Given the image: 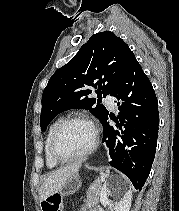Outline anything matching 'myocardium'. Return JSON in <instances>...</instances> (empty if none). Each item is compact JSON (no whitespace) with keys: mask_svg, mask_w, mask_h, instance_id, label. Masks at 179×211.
<instances>
[{"mask_svg":"<svg viewBox=\"0 0 179 211\" xmlns=\"http://www.w3.org/2000/svg\"><path fill=\"white\" fill-rule=\"evenodd\" d=\"M76 121H83V122L89 123L93 127V130H94V139H93L91 146L84 152H82L78 155L72 156V157H64V156L60 155L57 150V142H58V139H59L62 131L64 130V128L67 125H69L70 123L76 122ZM99 140H100L99 129H98L97 125L95 124V122L91 118H89L85 115L69 116V117L63 119L58 124L57 128L55 129L52 139H51V143H50V153H51L52 158L55 161H57L58 163H70V162H73L76 160L83 159V158L89 156L90 154H92L98 147Z\"/></svg>","mask_w":179,"mask_h":211,"instance_id":"f54148a6","label":"myocardium"}]
</instances>
